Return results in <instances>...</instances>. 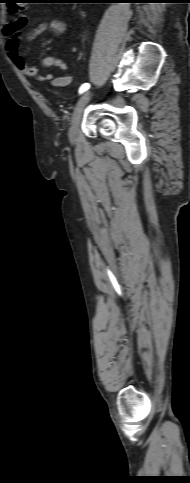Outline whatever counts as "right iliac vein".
<instances>
[{
	"label": "right iliac vein",
	"mask_w": 190,
	"mask_h": 483,
	"mask_svg": "<svg viewBox=\"0 0 190 483\" xmlns=\"http://www.w3.org/2000/svg\"><path fill=\"white\" fill-rule=\"evenodd\" d=\"M90 97H91V92H86L85 94H83L74 109L72 119H71V126L69 129V138L71 141H74L77 136L80 118L86 104L90 100Z\"/></svg>",
	"instance_id": "1"
}]
</instances>
